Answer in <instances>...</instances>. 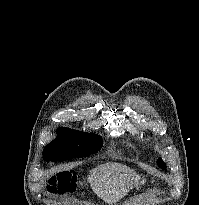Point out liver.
<instances>
[{
  "mask_svg": "<svg viewBox=\"0 0 199 205\" xmlns=\"http://www.w3.org/2000/svg\"><path fill=\"white\" fill-rule=\"evenodd\" d=\"M135 171L119 163H105L92 169L88 182L92 190L104 202L113 204L118 202L128 193L129 180Z\"/></svg>",
  "mask_w": 199,
  "mask_h": 205,
  "instance_id": "obj_1",
  "label": "liver"
}]
</instances>
